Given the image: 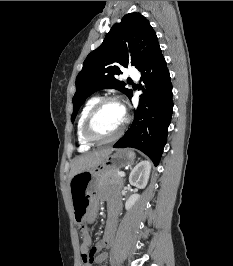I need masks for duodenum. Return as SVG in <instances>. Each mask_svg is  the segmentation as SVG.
<instances>
[{"mask_svg": "<svg viewBox=\"0 0 233 266\" xmlns=\"http://www.w3.org/2000/svg\"><path fill=\"white\" fill-rule=\"evenodd\" d=\"M110 213H111V216L115 214V212L113 210Z\"/></svg>", "mask_w": 233, "mask_h": 266, "instance_id": "obj_1", "label": "duodenum"}]
</instances>
